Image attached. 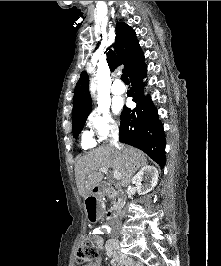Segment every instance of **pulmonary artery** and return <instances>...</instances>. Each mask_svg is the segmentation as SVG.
Instances as JSON below:
<instances>
[{
	"instance_id": "obj_1",
	"label": "pulmonary artery",
	"mask_w": 221,
	"mask_h": 266,
	"mask_svg": "<svg viewBox=\"0 0 221 266\" xmlns=\"http://www.w3.org/2000/svg\"><path fill=\"white\" fill-rule=\"evenodd\" d=\"M111 92L116 95H121L125 92V86L120 81H115L111 86Z\"/></svg>"
}]
</instances>
